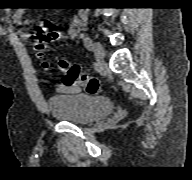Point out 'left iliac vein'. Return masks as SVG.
<instances>
[{
	"label": "left iliac vein",
	"instance_id": "1",
	"mask_svg": "<svg viewBox=\"0 0 192 180\" xmlns=\"http://www.w3.org/2000/svg\"><path fill=\"white\" fill-rule=\"evenodd\" d=\"M92 48L98 64L102 66L105 59V49L103 45L100 42H94Z\"/></svg>",
	"mask_w": 192,
	"mask_h": 180
}]
</instances>
